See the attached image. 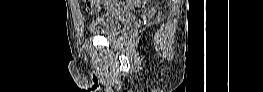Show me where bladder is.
Instances as JSON below:
<instances>
[{"instance_id":"obj_1","label":"bladder","mask_w":263,"mask_h":92,"mask_svg":"<svg viewBox=\"0 0 263 92\" xmlns=\"http://www.w3.org/2000/svg\"><path fill=\"white\" fill-rule=\"evenodd\" d=\"M134 19L135 15L130 11L117 8L106 9L91 18L86 28L93 34L111 38L130 28Z\"/></svg>"}]
</instances>
